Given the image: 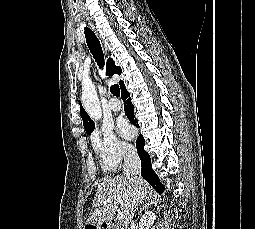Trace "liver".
<instances>
[{"label":"liver","mask_w":255,"mask_h":229,"mask_svg":"<svg viewBox=\"0 0 255 229\" xmlns=\"http://www.w3.org/2000/svg\"><path fill=\"white\" fill-rule=\"evenodd\" d=\"M149 184L140 176L133 180L125 175L104 178L99 184L92 207L95 209L87 223L101 225L110 223L120 205L124 214V223L129 224L134 216L135 208L151 197ZM118 196L120 199H114ZM141 199H138V198ZM112 198L110 202L107 199Z\"/></svg>","instance_id":"6515ba94"}]
</instances>
